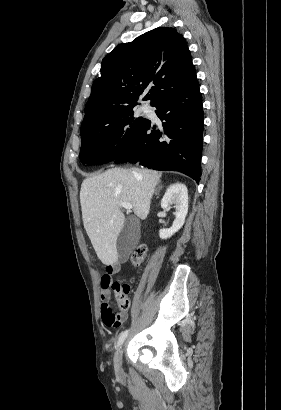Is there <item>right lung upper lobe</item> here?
Here are the masks:
<instances>
[{"mask_svg": "<svg viewBox=\"0 0 281 410\" xmlns=\"http://www.w3.org/2000/svg\"><path fill=\"white\" fill-rule=\"evenodd\" d=\"M195 68L184 37L176 29L158 27L118 45L102 61L82 122L137 104L145 88L154 85L143 100L159 98L191 86Z\"/></svg>", "mask_w": 281, "mask_h": 410, "instance_id": "1", "label": "right lung upper lobe"}]
</instances>
